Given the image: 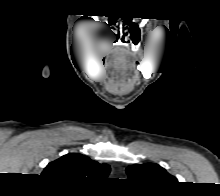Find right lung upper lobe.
Wrapping results in <instances>:
<instances>
[{
    "mask_svg": "<svg viewBox=\"0 0 220 196\" xmlns=\"http://www.w3.org/2000/svg\"><path fill=\"white\" fill-rule=\"evenodd\" d=\"M109 172L107 164H100L78 153H69L49 163L42 175L63 183L91 186L105 179Z\"/></svg>",
    "mask_w": 220,
    "mask_h": 196,
    "instance_id": "cb5924a9",
    "label": "right lung upper lobe"
}]
</instances>
